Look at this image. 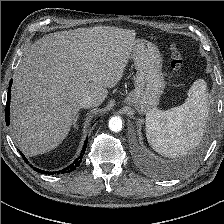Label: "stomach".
<instances>
[{
  "instance_id": "obj_1",
  "label": "stomach",
  "mask_w": 224,
  "mask_h": 224,
  "mask_svg": "<svg viewBox=\"0 0 224 224\" xmlns=\"http://www.w3.org/2000/svg\"><path fill=\"white\" fill-rule=\"evenodd\" d=\"M131 56L137 71L135 89L126 96L124 102L144 114L158 105L165 87L161 56L158 48L144 39L135 41Z\"/></svg>"
}]
</instances>
